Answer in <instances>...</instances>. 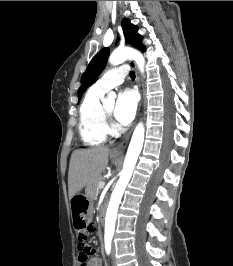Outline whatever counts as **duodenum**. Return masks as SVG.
<instances>
[{
  "mask_svg": "<svg viewBox=\"0 0 233 266\" xmlns=\"http://www.w3.org/2000/svg\"><path fill=\"white\" fill-rule=\"evenodd\" d=\"M105 213H106V208L102 207L99 213V222L100 224L104 223V219H105Z\"/></svg>",
  "mask_w": 233,
  "mask_h": 266,
  "instance_id": "duodenum-1",
  "label": "duodenum"
}]
</instances>
